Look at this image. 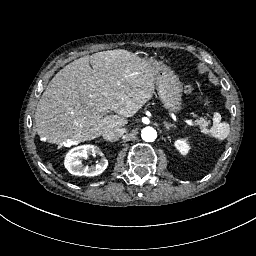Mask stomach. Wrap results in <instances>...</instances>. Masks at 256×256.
I'll use <instances>...</instances> for the list:
<instances>
[{
	"label": "stomach",
	"instance_id": "stomach-1",
	"mask_svg": "<svg viewBox=\"0 0 256 256\" xmlns=\"http://www.w3.org/2000/svg\"><path fill=\"white\" fill-rule=\"evenodd\" d=\"M159 98L165 109L177 112L181 109L182 85L179 78L168 68H161V74L156 77Z\"/></svg>",
	"mask_w": 256,
	"mask_h": 256
}]
</instances>
